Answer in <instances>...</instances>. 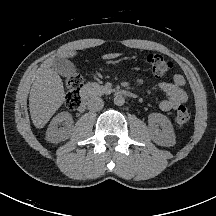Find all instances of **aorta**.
<instances>
[{
  "label": "aorta",
  "instance_id": "obj_1",
  "mask_svg": "<svg viewBox=\"0 0 216 216\" xmlns=\"http://www.w3.org/2000/svg\"><path fill=\"white\" fill-rule=\"evenodd\" d=\"M125 103V98L122 95H116L114 97V104L117 106H122Z\"/></svg>",
  "mask_w": 216,
  "mask_h": 216
}]
</instances>
